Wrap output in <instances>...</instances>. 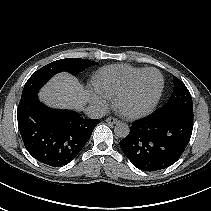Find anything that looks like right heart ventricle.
<instances>
[{"label": "right heart ventricle", "instance_id": "right-heart-ventricle-1", "mask_svg": "<svg viewBox=\"0 0 211 211\" xmlns=\"http://www.w3.org/2000/svg\"><path fill=\"white\" fill-rule=\"evenodd\" d=\"M145 68L130 65H111L94 76V85L109 96H116Z\"/></svg>", "mask_w": 211, "mask_h": 211}]
</instances>
